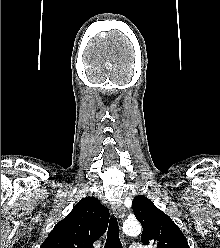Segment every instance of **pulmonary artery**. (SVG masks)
<instances>
[{"mask_svg": "<svg viewBox=\"0 0 220 248\" xmlns=\"http://www.w3.org/2000/svg\"><path fill=\"white\" fill-rule=\"evenodd\" d=\"M130 248H143V246H142L141 244L135 243V244H132V245L130 246Z\"/></svg>", "mask_w": 220, "mask_h": 248, "instance_id": "pulmonary-artery-1", "label": "pulmonary artery"}]
</instances>
